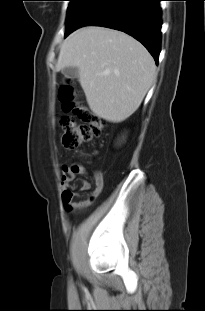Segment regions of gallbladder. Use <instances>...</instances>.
Wrapping results in <instances>:
<instances>
[{
    "label": "gallbladder",
    "mask_w": 205,
    "mask_h": 311,
    "mask_svg": "<svg viewBox=\"0 0 205 311\" xmlns=\"http://www.w3.org/2000/svg\"><path fill=\"white\" fill-rule=\"evenodd\" d=\"M62 74L66 78L75 79L79 77L78 67H65L62 69Z\"/></svg>",
    "instance_id": "bac80fb5"
}]
</instances>
